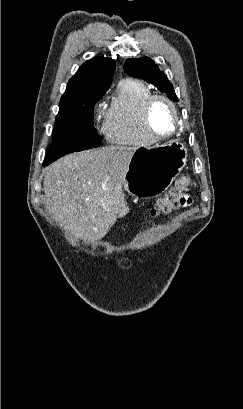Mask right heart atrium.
<instances>
[{
	"mask_svg": "<svg viewBox=\"0 0 243 409\" xmlns=\"http://www.w3.org/2000/svg\"><path fill=\"white\" fill-rule=\"evenodd\" d=\"M106 118H107V110L105 109L104 104L100 103L98 106L97 119H98V122L102 123V130L104 132H105Z\"/></svg>",
	"mask_w": 243,
	"mask_h": 409,
	"instance_id": "obj_1",
	"label": "right heart atrium"
}]
</instances>
